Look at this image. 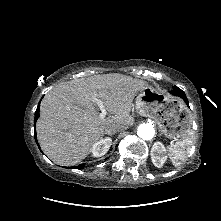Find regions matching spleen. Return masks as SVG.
<instances>
[{"label": "spleen", "mask_w": 221, "mask_h": 221, "mask_svg": "<svg viewBox=\"0 0 221 221\" xmlns=\"http://www.w3.org/2000/svg\"><path fill=\"white\" fill-rule=\"evenodd\" d=\"M192 136L193 132L190 130L183 140L168 147V155L174 166L181 165L188 157L193 145Z\"/></svg>", "instance_id": "obj_1"}]
</instances>
